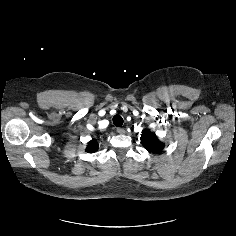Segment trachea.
Here are the masks:
<instances>
[{
    "mask_svg": "<svg viewBox=\"0 0 236 236\" xmlns=\"http://www.w3.org/2000/svg\"><path fill=\"white\" fill-rule=\"evenodd\" d=\"M113 123L117 127H121L123 125V118L120 115H115L113 117Z\"/></svg>",
    "mask_w": 236,
    "mask_h": 236,
    "instance_id": "1",
    "label": "trachea"
}]
</instances>
